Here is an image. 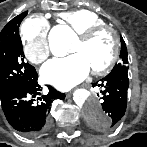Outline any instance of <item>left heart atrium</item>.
<instances>
[{
	"instance_id": "left-heart-atrium-1",
	"label": "left heart atrium",
	"mask_w": 147,
	"mask_h": 147,
	"mask_svg": "<svg viewBox=\"0 0 147 147\" xmlns=\"http://www.w3.org/2000/svg\"><path fill=\"white\" fill-rule=\"evenodd\" d=\"M90 66L81 54H73L64 58H55L47 62L41 69L43 81L61 90H67L84 80Z\"/></svg>"
}]
</instances>
